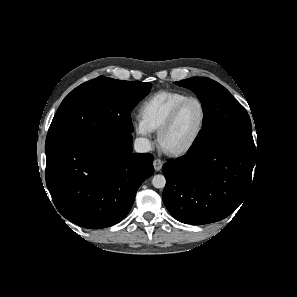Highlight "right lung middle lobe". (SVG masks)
I'll list each match as a JSON object with an SVG mask.
<instances>
[{
	"instance_id": "obj_1",
	"label": "right lung middle lobe",
	"mask_w": 297,
	"mask_h": 297,
	"mask_svg": "<svg viewBox=\"0 0 297 297\" xmlns=\"http://www.w3.org/2000/svg\"><path fill=\"white\" fill-rule=\"evenodd\" d=\"M151 86L103 76L81 84L64 98L52 120L46 155L95 136L131 134L130 113Z\"/></svg>"
}]
</instances>
